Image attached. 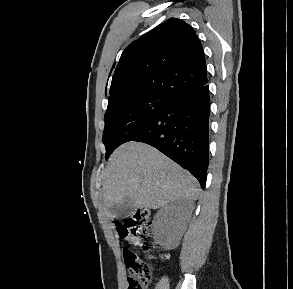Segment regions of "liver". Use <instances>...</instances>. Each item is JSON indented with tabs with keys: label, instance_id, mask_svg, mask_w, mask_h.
I'll return each instance as SVG.
<instances>
[{
	"label": "liver",
	"instance_id": "liver-1",
	"mask_svg": "<svg viewBox=\"0 0 293 289\" xmlns=\"http://www.w3.org/2000/svg\"><path fill=\"white\" fill-rule=\"evenodd\" d=\"M197 180L157 149L128 142L109 158L102 183L108 208L130 197L137 208L158 209L178 199L197 200Z\"/></svg>",
	"mask_w": 293,
	"mask_h": 289
}]
</instances>
